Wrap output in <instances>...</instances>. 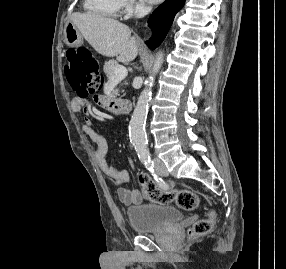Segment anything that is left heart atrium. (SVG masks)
<instances>
[{"label":"left heart atrium","mask_w":286,"mask_h":269,"mask_svg":"<svg viewBox=\"0 0 286 269\" xmlns=\"http://www.w3.org/2000/svg\"><path fill=\"white\" fill-rule=\"evenodd\" d=\"M144 1L148 4H157V3L161 2L162 0H144Z\"/></svg>","instance_id":"left-heart-atrium-1"}]
</instances>
